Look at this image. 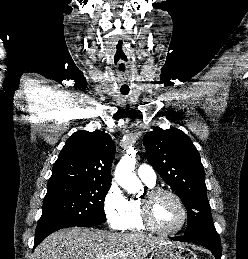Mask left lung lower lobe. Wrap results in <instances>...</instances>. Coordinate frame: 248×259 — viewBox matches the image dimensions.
I'll return each mask as SVG.
<instances>
[{
  "instance_id": "1",
  "label": "left lung lower lobe",
  "mask_w": 248,
  "mask_h": 259,
  "mask_svg": "<svg viewBox=\"0 0 248 259\" xmlns=\"http://www.w3.org/2000/svg\"><path fill=\"white\" fill-rule=\"evenodd\" d=\"M181 242H192L206 247L216 259H221V242L216 230H205L195 234H187L180 237H170Z\"/></svg>"
}]
</instances>
